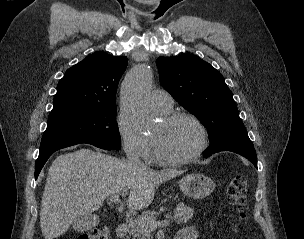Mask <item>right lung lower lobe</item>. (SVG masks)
I'll return each mask as SVG.
<instances>
[{
    "mask_svg": "<svg viewBox=\"0 0 304 239\" xmlns=\"http://www.w3.org/2000/svg\"><path fill=\"white\" fill-rule=\"evenodd\" d=\"M79 143H87L94 145L96 147H99L101 149L105 150H112L113 148L110 147L107 144L97 142V141H91V140H79V139H69V140H57V141H47V142H41L40 144V153L38 156V159L35 163V178L38 177L42 167L48 160V158L57 150L76 145Z\"/></svg>",
    "mask_w": 304,
    "mask_h": 239,
    "instance_id": "1",
    "label": "right lung lower lobe"
}]
</instances>
